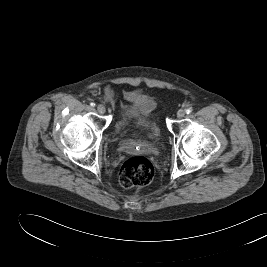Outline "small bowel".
Masks as SVG:
<instances>
[{"instance_id":"obj_1","label":"small bowel","mask_w":267,"mask_h":267,"mask_svg":"<svg viewBox=\"0 0 267 267\" xmlns=\"http://www.w3.org/2000/svg\"><path fill=\"white\" fill-rule=\"evenodd\" d=\"M124 98L128 103L126 118L136 120L141 126L148 127V116L156 107L154 99L143 89L128 91L124 94Z\"/></svg>"}]
</instances>
